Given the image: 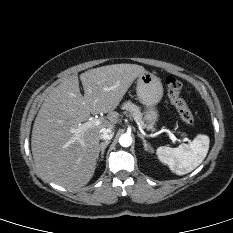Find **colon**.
Listing matches in <instances>:
<instances>
[{
	"mask_svg": "<svg viewBox=\"0 0 233 233\" xmlns=\"http://www.w3.org/2000/svg\"><path fill=\"white\" fill-rule=\"evenodd\" d=\"M167 95L170 102L175 107L180 118L187 124L193 125L195 122L194 116L190 111L187 103L181 97L182 84L174 77H167L165 80Z\"/></svg>",
	"mask_w": 233,
	"mask_h": 233,
	"instance_id": "colon-1",
	"label": "colon"
}]
</instances>
